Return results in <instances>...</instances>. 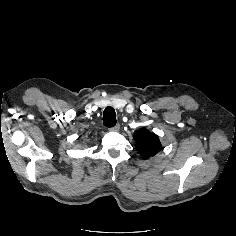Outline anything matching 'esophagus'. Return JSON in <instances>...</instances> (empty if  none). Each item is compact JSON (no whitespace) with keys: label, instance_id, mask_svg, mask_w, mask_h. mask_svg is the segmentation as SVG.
Returning <instances> with one entry per match:
<instances>
[{"label":"esophagus","instance_id":"1","mask_svg":"<svg viewBox=\"0 0 236 236\" xmlns=\"http://www.w3.org/2000/svg\"><path fill=\"white\" fill-rule=\"evenodd\" d=\"M120 129V124H116L114 127L110 128L112 131H119Z\"/></svg>","mask_w":236,"mask_h":236}]
</instances>
